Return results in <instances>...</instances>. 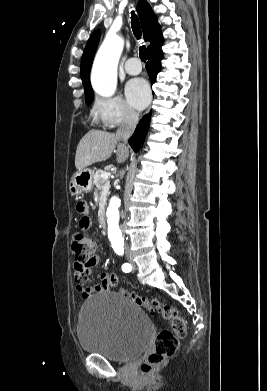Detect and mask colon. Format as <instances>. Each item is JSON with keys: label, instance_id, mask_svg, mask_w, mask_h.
I'll list each match as a JSON object with an SVG mask.
<instances>
[{"label": "colon", "instance_id": "5ec220e1", "mask_svg": "<svg viewBox=\"0 0 267 391\" xmlns=\"http://www.w3.org/2000/svg\"><path fill=\"white\" fill-rule=\"evenodd\" d=\"M96 250L97 242L93 237L82 233H78L73 237L72 251L76 264L81 266L94 265L96 261ZM107 281L110 286H114L117 284V276L110 273L108 274ZM125 295L139 306L146 308L152 314L158 315L163 320L168 321L171 326V330H161L157 334L151 350L141 364V371L144 374H149L176 352L179 346V339L186 334V322L171 305L160 303L157 300L134 293H125Z\"/></svg>", "mask_w": 267, "mask_h": 391}]
</instances>
